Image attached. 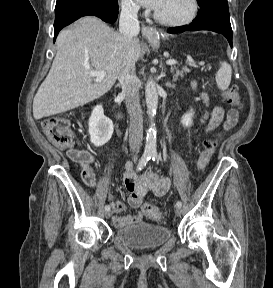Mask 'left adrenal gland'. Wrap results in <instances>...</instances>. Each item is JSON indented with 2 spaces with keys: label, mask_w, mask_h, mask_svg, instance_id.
<instances>
[{
  "label": "left adrenal gland",
  "mask_w": 273,
  "mask_h": 288,
  "mask_svg": "<svg viewBox=\"0 0 273 288\" xmlns=\"http://www.w3.org/2000/svg\"><path fill=\"white\" fill-rule=\"evenodd\" d=\"M164 76H165V73H164ZM166 86L169 87V88H174V85H172V84L169 83V82L166 83Z\"/></svg>",
  "instance_id": "1"
}]
</instances>
